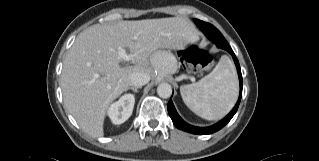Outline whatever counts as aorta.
<instances>
[{
  "label": "aorta",
  "instance_id": "aorta-1",
  "mask_svg": "<svg viewBox=\"0 0 319 161\" xmlns=\"http://www.w3.org/2000/svg\"><path fill=\"white\" fill-rule=\"evenodd\" d=\"M157 93L161 98H169L172 95V87L168 83H161L157 87Z\"/></svg>",
  "mask_w": 319,
  "mask_h": 161
}]
</instances>
